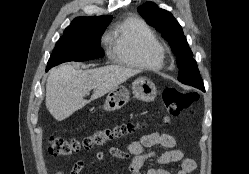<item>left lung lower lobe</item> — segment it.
<instances>
[{
  "instance_id": "0a47b994",
  "label": "left lung lower lobe",
  "mask_w": 249,
  "mask_h": 174,
  "mask_svg": "<svg viewBox=\"0 0 249 174\" xmlns=\"http://www.w3.org/2000/svg\"><path fill=\"white\" fill-rule=\"evenodd\" d=\"M196 88L200 89V90H204V84H200V85H197Z\"/></svg>"
}]
</instances>
